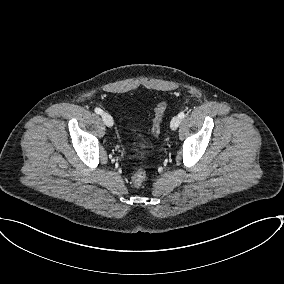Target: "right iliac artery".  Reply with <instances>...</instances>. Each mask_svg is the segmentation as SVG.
I'll use <instances>...</instances> for the list:
<instances>
[{"mask_svg":"<svg viewBox=\"0 0 284 284\" xmlns=\"http://www.w3.org/2000/svg\"><path fill=\"white\" fill-rule=\"evenodd\" d=\"M95 113H97V114H102L103 113V110L102 109H100V108H95Z\"/></svg>","mask_w":284,"mask_h":284,"instance_id":"1","label":"right iliac artery"}]
</instances>
